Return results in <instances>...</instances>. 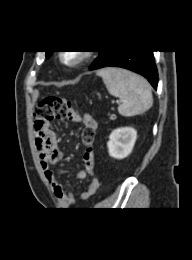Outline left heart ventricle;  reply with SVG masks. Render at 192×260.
<instances>
[{
	"label": "left heart ventricle",
	"instance_id": "obj_1",
	"mask_svg": "<svg viewBox=\"0 0 192 260\" xmlns=\"http://www.w3.org/2000/svg\"><path fill=\"white\" fill-rule=\"evenodd\" d=\"M76 57V53L75 52H70L66 55L67 59H74Z\"/></svg>",
	"mask_w": 192,
	"mask_h": 260
}]
</instances>
